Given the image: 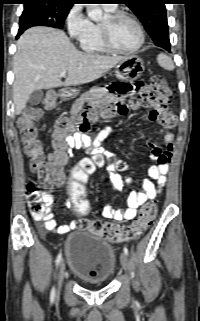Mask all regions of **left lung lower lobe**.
I'll list each match as a JSON object with an SVG mask.
<instances>
[{"instance_id":"1","label":"left lung lower lobe","mask_w":200,"mask_h":321,"mask_svg":"<svg viewBox=\"0 0 200 321\" xmlns=\"http://www.w3.org/2000/svg\"><path fill=\"white\" fill-rule=\"evenodd\" d=\"M165 49L170 52V46H166Z\"/></svg>"}]
</instances>
